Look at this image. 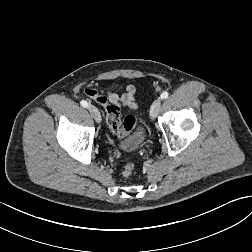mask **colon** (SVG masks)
Masks as SVG:
<instances>
[{"mask_svg":"<svg viewBox=\"0 0 252 252\" xmlns=\"http://www.w3.org/2000/svg\"><path fill=\"white\" fill-rule=\"evenodd\" d=\"M84 93L94 99L97 103L104 107L106 111V121L111 132L118 138L126 136L136 125V118L128 115L124 121L121 120L120 109L116 105L109 104L105 97L98 95L93 88H86ZM135 170V164L132 161L126 163L123 168V175L130 177Z\"/></svg>","mask_w":252,"mask_h":252,"instance_id":"1","label":"colon"}]
</instances>
